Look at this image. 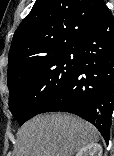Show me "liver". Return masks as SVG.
Returning <instances> with one entry per match:
<instances>
[{"mask_svg":"<svg viewBox=\"0 0 114 156\" xmlns=\"http://www.w3.org/2000/svg\"><path fill=\"white\" fill-rule=\"evenodd\" d=\"M98 140V130L79 117L65 113L37 115L19 129L15 156H73Z\"/></svg>","mask_w":114,"mask_h":156,"instance_id":"1","label":"liver"}]
</instances>
